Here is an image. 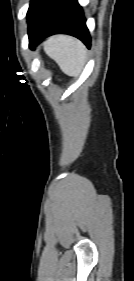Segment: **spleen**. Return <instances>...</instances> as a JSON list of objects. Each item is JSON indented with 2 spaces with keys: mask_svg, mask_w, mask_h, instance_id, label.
I'll return each mask as SVG.
<instances>
[{
  "mask_svg": "<svg viewBox=\"0 0 134 281\" xmlns=\"http://www.w3.org/2000/svg\"><path fill=\"white\" fill-rule=\"evenodd\" d=\"M44 51L59 65L68 76L77 77L86 60V48L77 39L56 35L44 43Z\"/></svg>",
  "mask_w": 134,
  "mask_h": 281,
  "instance_id": "spleen-1",
  "label": "spleen"
}]
</instances>
